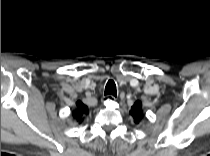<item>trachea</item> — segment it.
<instances>
[{
	"instance_id": "obj_1",
	"label": "trachea",
	"mask_w": 210,
	"mask_h": 156,
	"mask_svg": "<svg viewBox=\"0 0 210 156\" xmlns=\"http://www.w3.org/2000/svg\"><path fill=\"white\" fill-rule=\"evenodd\" d=\"M105 95H112L116 97L117 90H116V84L113 80H109L105 87Z\"/></svg>"
}]
</instances>
